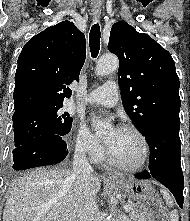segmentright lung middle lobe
I'll list each match as a JSON object with an SVG mask.
<instances>
[{
  "instance_id": "obj_1",
  "label": "right lung middle lobe",
  "mask_w": 190,
  "mask_h": 221,
  "mask_svg": "<svg viewBox=\"0 0 190 221\" xmlns=\"http://www.w3.org/2000/svg\"><path fill=\"white\" fill-rule=\"evenodd\" d=\"M63 104L36 105L13 114L15 147L45 134L65 135L72 118L60 110Z\"/></svg>"
}]
</instances>
